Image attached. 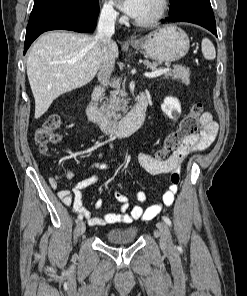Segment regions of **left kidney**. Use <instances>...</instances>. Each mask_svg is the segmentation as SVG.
Listing matches in <instances>:
<instances>
[{"mask_svg":"<svg viewBox=\"0 0 247 296\" xmlns=\"http://www.w3.org/2000/svg\"><path fill=\"white\" fill-rule=\"evenodd\" d=\"M161 109L172 120L176 119L181 114L179 100L174 97H166L161 105Z\"/></svg>","mask_w":247,"mask_h":296,"instance_id":"obj_1","label":"left kidney"}]
</instances>
